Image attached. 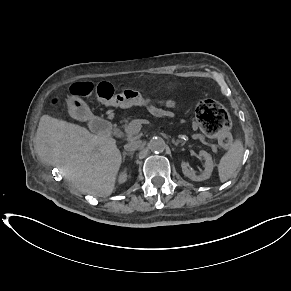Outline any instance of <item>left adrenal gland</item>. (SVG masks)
I'll return each mask as SVG.
<instances>
[{
    "instance_id": "a2214340",
    "label": "left adrenal gland",
    "mask_w": 291,
    "mask_h": 291,
    "mask_svg": "<svg viewBox=\"0 0 291 291\" xmlns=\"http://www.w3.org/2000/svg\"><path fill=\"white\" fill-rule=\"evenodd\" d=\"M181 142H183L182 140H176V141H174V140H172V143L175 145V146H177L179 143H181Z\"/></svg>"
}]
</instances>
